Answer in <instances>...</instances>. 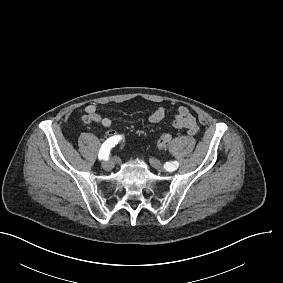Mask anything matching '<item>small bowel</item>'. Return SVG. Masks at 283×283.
<instances>
[{"mask_svg":"<svg viewBox=\"0 0 283 283\" xmlns=\"http://www.w3.org/2000/svg\"><path fill=\"white\" fill-rule=\"evenodd\" d=\"M165 116L166 109L160 106L150 114L148 121L151 124H158L164 120ZM81 119L84 123H97L105 128H109L112 125V121L109 117L99 114L95 104H89L85 107V113ZM172 126L176 129H186L190 135H195L198 132L196 118L186 106H180L176 110L173 116ZM108 134L113 135L115 132L109 131Z\"/></svg>","mask_w":283,"mask_h":283,"instance_id":"1","label":"small bowel"}]
</instances>
